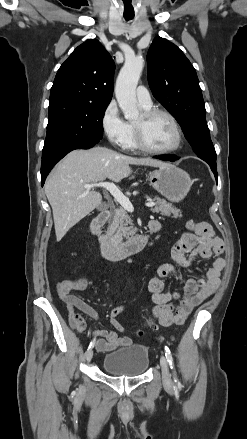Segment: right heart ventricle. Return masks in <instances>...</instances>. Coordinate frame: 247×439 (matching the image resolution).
Segmentation results:
<instances>
[{
    "label": "right heart ventricle",
    "instance_id": "obj_1",
    "mask_svg": "<svg viewBox=\"0 0 247 439\" xmlns=\"http://www.w3.org/2000/svg\"><path fill=\"white\" fill-rule=\"evenodd\" d=\"M144 108L148 109V107H144ZM128 126H129V133L123 147L127 150H137L139 149V147L137 146L135 139L134 124H128Z\"/></svg>",
    "mask_w": 247,
    "mask_h": 439
}]
</instances>
